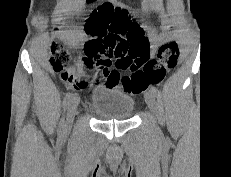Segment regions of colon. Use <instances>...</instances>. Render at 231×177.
<instances>
[{"instance_id": "5ec220e1", "label": "colon", "mask_w": 231, "mask_h": 177, "mask_svg": "<svg viewBox=\"0 0 231 177\" xmlns=\"http://www.w3.org/2000/svg\"><path fill=\"white\" fill-rule=\"evenodd\" d=\"M95 0H85L91 3ZM85 31L90 39L85 45V54L104 69V74L112 82H121L123 88L133 94L141 93L149 85L160 84L172 70L179 56L174 43L159 47L155 57H150L149 40L138 24L131 21L128 13L109 3L94 9ZM70 50L53 41L50 47V64L55 72L66 71L70 61ZM116 59L117 70H109L112 60ZM118 70L130 71L120 76Z\"/></svg>"}]
</instances>
